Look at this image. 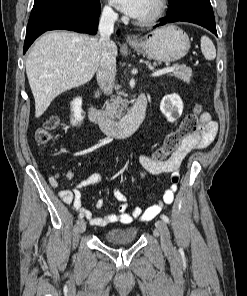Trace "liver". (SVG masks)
<instances>
[{
	"label": "liver",
	"mask_w": 247,
	"mask_h": 296,
	"mask_svg": "<svg viewBox=\"0 0 247 296\" xmlns=\"http://www.w3.org/2000/svg\"><path fill=\"white\" fill-rule=\"evenodd\" d=\"M112 52L117 56L113 42ZM100 60L99 40L84 34L51 31L42 36L26 60V74L39 118L59 94L89 82Z\"/></svg>",
	"instance_id": "liver-1"
}]
</instances>
